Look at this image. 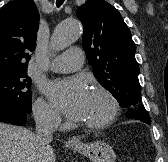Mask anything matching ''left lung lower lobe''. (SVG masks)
<instances>
[{
  "label": "left lung lower lobe",
  "mask_w": 168,
  "mask_h": 162,
  "mask_svg": "<svg viewBox=\"0 0 168 162\" xmlns=\"http://www.w3.org/2000/svg\"><path fill=\"white\" fill-rule=\"evenodd\" d=\"M130 113L126 114L127 118H132L135 120H140L147 124H151V119L147 111L145 110L144 106L141 105L138 109L129 108Z\"/></svg>",
  "instance_id": "0a47b994"
}]
</instances>
